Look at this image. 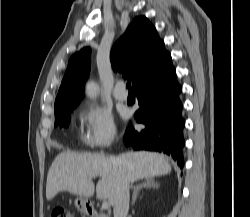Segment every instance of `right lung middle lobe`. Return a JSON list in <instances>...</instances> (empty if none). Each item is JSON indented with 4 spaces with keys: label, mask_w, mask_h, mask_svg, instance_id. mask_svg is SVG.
I'll use <instances>...</instances> for the list:
<instances>
[{
    "label": "right lung middle lobe",
    "mask_w": 250,
    "mask_h": 217,
    "mask_svg": "<svg viewBox=\"0 0 250 217\" xmlns=\"http://www.w3.org/2000/svg\"><path fill=\"white\" fill-rule=\"evenodd\" d=\"M70 112L71 111L60 113V114L56 115L55 116V127L58 125H60V127H62V126L67 127L69 125V122H70V118H69Z\"/></svg>",
    "instance_id": "dd1d6c3e"
}]
</instances>
